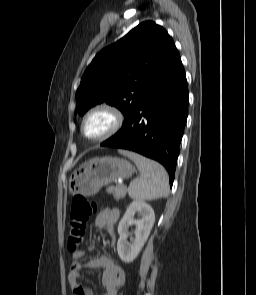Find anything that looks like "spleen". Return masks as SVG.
I'll return each instance as SVG.
<instances>
[{"instance_id":"obj_1","label":"spleen","mask_w":256,"mask_h":295,"mask_svg":"<svg viewBox=\"0 0 256 295\" xmlns=\"http://www.w3.org/2000/svg\"><path fill=\"white\" fill-rule=\"evenodd\" d=\"M134 161L141 176L130 183L129 196L135 200H153L167 197L169 178L166 170L159 163L130 151H120Z\"/></svg>"}]
</instances>
